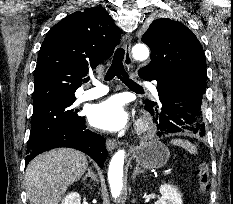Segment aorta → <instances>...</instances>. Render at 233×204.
Returning <instances> with one entry per match:
<instances>
[{"instance_id":"762f6f07","label":"aorta","mask_w":233,"mask_h":204,"mask_svg":"<svg viewBox=\"0 0 233 204\" xmlns=\"http://www.w3.org/2000/svg\"><path fill=\"white\" fill-rule=\"evenodd\" d=\"M133 57L137 60H145L149 56V50L145 44L139 43L132 48ZM125 151L118 150L112 157L109 164L108 179L111 194L114 198L119 197L123 187V165Z\"/></svg>"}]
</instances>
